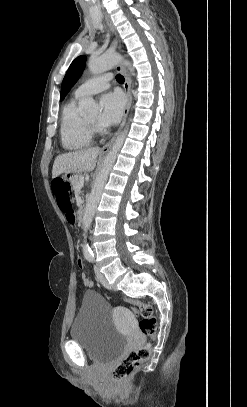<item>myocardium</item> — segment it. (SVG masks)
<instances>
[{
	"label": "myocardium",
	"instance_id": "obj_1",
	"mask_svg": "<svg viewBox=\"0 0 247 407\" xmlns=\"http://www.w3.org/2000/svg\"><path fill=\"white\" fill-rule=\"evenodd\" d=\"M84 125L90 135L95 136L103 132L102 127L99 124L93 123L87 119L86 116H83Z\"/></svg>",
	"mask_w": 247,
	"mask_h": 407
}]
</instances>
